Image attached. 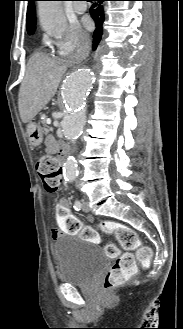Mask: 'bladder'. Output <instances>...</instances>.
I'll return each instance as SVG.
<instances>
[{"label":"bladder","instance_id":"obj_1","mask_svg":"<svg viewBox=\"0 0 183 329\" xmlns=\"http://www.w3.org/2000/svg\"><path fill=\"white\" fill-rule=\"evenodd\" d=\"M53 256L58 280L65 284L86 285L109 267V258L100 247L73 234L55 240Z\"/></svg>","mask_w":183,"mask_h":329}]
</instances>
